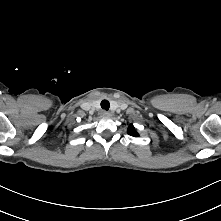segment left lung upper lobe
<instances>
[{"label": "left lung upper lobe", "instance_id": "1", "mask_svg": "<svg viewBox=\"0 0 221 221\" xmlns=\"http://www.w3.org/2000/svg\"><path fill=\"white\" fill-rule=\"evenodd\" d=\"M128 132L130 135H132L134 137L138 136V133L136 132V130L134 129V126L132 124L128 128Z\"/></svg>", "mask_w": 221, "mask_h": 221}]
</instances>
